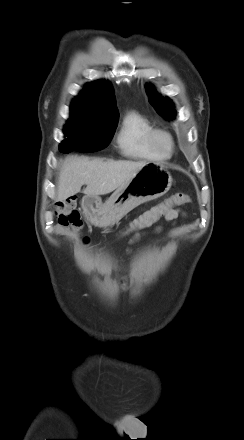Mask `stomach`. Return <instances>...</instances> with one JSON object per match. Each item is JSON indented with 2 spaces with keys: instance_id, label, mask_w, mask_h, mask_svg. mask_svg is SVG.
I'll list each match as a JSON object with an SVG mask.
<instances>
[{
  "instance_id": "stomach-1",
  "label": "stomach",
  "mask_w": 244,
  "mask_h": 440,
  "mask_svg": "<svg viewBox=\"0 0 244 440\" xmlns=\"http://www.w3.org/2000/svg\"><path fill=\"white\" fill-rule=\"evenodd\" d=\"M172 176L162 163H146L111 197L102 203L99 196L86 195L82 208L87 220L96 227L114 225L135 207L166 194Z\"/></svg>"
}]
</instances>
